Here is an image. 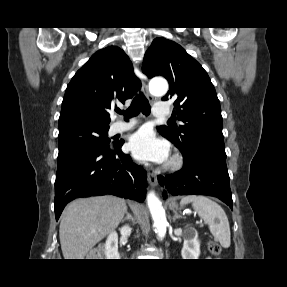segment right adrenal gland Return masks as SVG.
<instances>
[{"mask_svg":"<svg viewBox=\"0 0 287 287\" xmlns=\"http://www.w3.org/2000/svg\"><path fill=\"white\" fill-rule=\"evenodd\" d=\"M124 220H131L133 222V225L135 224V220L134 218L132 217V215L126 211V216L124 218Z\"/></svg>","mask_w":287,"mask_h":287,"instance_id":"right-adrenal-gland-1","label":"right adrenal gland"}]
</instances>
